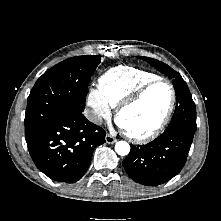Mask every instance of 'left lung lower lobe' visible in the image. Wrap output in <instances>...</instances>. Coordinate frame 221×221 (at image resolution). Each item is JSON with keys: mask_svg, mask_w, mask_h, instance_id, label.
I'll list each match as a JSON object with an SVG mask.
<instances>
[{"mask_svg": "<svg viewBox=\"0 0 221 221\" xmlns=\"http://www.w3.org/2000/svg\"><path fill=\"white\" fill-rule=\"evenodd\" d=\"M194 130L178 127L166 129L146 145H131L123 166L136 182L156 186L176 176L185 165Z\"/></svg>", "mask_w": 221, "mask_h": 221, "instance_id": "obj_1", "label": "left lung lower lobe"}]
</instances>
